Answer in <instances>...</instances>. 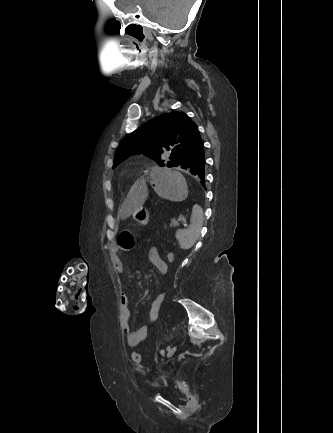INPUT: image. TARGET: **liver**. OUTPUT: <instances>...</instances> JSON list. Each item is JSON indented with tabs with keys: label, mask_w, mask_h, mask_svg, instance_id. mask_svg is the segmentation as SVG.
<instances>
[{
	"label": "liver",
	"mask_w": 333,
	"mask_h": 433,
	"mask_svg": "<svg viewBox=\"0 0 333 433\" xmlns=\"http://www.w3.org/2000/svg\"><path fill=\"white\" fill-rule=\"evenodd\" d=\"M150 184L149 183H137L136 190L137 192H131L130 199L131 201H121L120 202V209L122 211V214L125 215V217H128V215H134L136 210L138 209V202L137 201H148L150 191Z\"/></svg>",
	"instance_id": "obj_1"
}]
</instances>
